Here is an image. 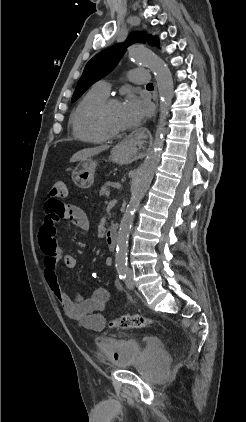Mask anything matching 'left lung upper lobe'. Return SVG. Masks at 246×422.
Segmentation results:
<instances>
[{"instance_id": "1", "label": "left lung upper lobe", "mask_w": 246, "mask_h": 422, "mask_svg": "<svg viewBox=\"0 0 246 422\" xmlns=\"http://www.w3.org/2000/svg\"><path fill=\"white\" fill-rule=\"evenodd\" d=\"M146 41L151 46H158L156 37L150 36L147 38L145 32H134L130 34L125 42L115 44L94 56L85 66L73 94L72 102H75L93 83L113 70L128 46L136 42L145 43Z\"/></svg>"}]
</instances>
